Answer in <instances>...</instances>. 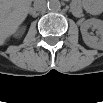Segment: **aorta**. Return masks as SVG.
I'll return each mask as SVG.
<instances>
[{
  "mask_svg": "<svg viewBox=\"0 0 103 103\" xmlns=\"http://www.w3.org/2000/svg\"><path fill=\"white\" fill-rule=\"evenodd\" d=\"M47 6L51 11H58L61 8V3L59 0H50L48 1Z\"/></svg>",
  "mask_w": 103,
  "mask_h": 103,
  "instance_id": "aorta-1",
  "label": "aorta"
}]
</instances>
